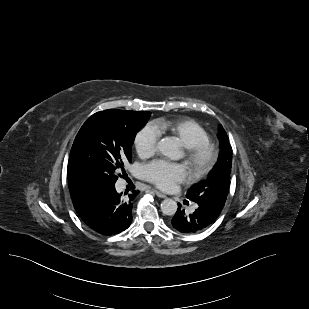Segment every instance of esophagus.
Listing matches in <instances>:
<instances>
[{"label":"esophagus","instance_id":"obj_1","mask_svg":"<svg viewBox=\"0 0 309 309\" xmlns=\"http://www.w3.org/2000/svg\"><path fill=\"white\" fill-rule=\"evenodd\" d=\"M153 191L159 198H166V195L162 193L161 191H158V190H153Z\"/></svg>","mask_w":309,"mask_h":309}]
</instances>
